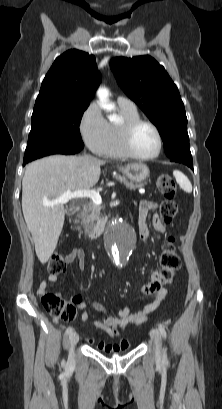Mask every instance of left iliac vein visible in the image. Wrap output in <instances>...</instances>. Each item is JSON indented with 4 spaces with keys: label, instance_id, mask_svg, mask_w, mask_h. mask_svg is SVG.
<instances>
[{
    "label": "left iliac vein",
    "instance_id": "4c4485c4",
    "mask_svg": "<svg viewBox=\"0 0 222 409\" xmlns=\"http://www.w3.org/2000/svg\"><path fill=\"white\" fill-rule=\"evenodd\" d=\"M151 340L154 343V354L156 358L162 355V339L160 332L157 329H152L150 332Z\"/></svg>",
    "mask_w": 222,
    "mask_h": 409
}]
</instances>
